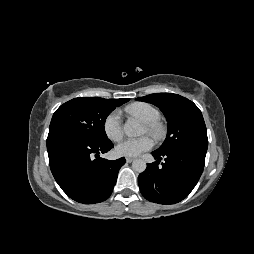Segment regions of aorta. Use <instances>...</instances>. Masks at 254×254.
Instances as JSON below:
<instances>
[{"instance_id":"aorta-1","label":"aorta","mask_w":254,"mask_h":254,"mask_svg":"<svg viewBox=\"0 0 254 254\" xmlns=\"http://www.w3.org/2000/svg\"><path fill=\"white\" fill-rule=\"evenodd\" d=\"M124 132L128 136H139L142 133L141 125L136 120H128L124 125ZM146 162L142 159H135L132 162V168L138 173H142L146 170Z\"/></svg>"}]
</instances>
